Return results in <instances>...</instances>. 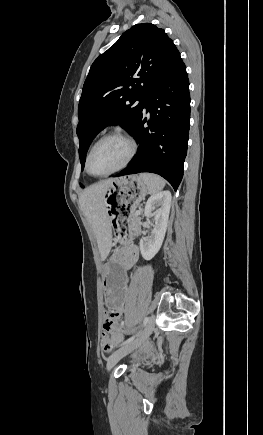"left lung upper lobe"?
<instances>
[{"label":"left lung upper lobe","mask_w":263,"mask_h":435,"mask_svg":"<svg viewBox=\"0 0 263 435\" xmlns=\"http://www.w3.org/2000/svg\"><path fill=\"white\" fill-rule=\"evenodd\" d=\"M180 60L179 51L163 29L142 23L123 33L93 62L78 107L82 169L93 138L104 127L120 123L132 134L147 97Z\"/></svg>","instance_id":"1"}]
</instances>
